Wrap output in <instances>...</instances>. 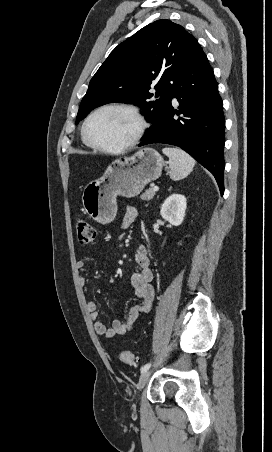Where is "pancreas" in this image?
<instances>
[{"mask_svg": "<svg viewBox=\"0 0 272 452\" xmlns=\"http://www.w3.org/2000/svg\"><path fill=\"white\" fill-rule=\"evenodd\" d=\"M155 195V191L153 190V188H150L148 190H146L141 196L140 198L142 200H146V201H150L151 199H153Z\"/></svg>", "mask_w": 272, "mask_h": 452, "instance_id": "obj_1", "label": "pancreas"}]
</instances>
